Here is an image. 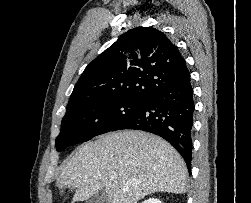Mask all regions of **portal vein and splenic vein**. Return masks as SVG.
I'll return each mask as SVG.
<instances>
[{
  "mask_svg": "<svg viewBox=\"0 0 251 203\" xmlns=\"http://www.w3.org/2000/svg\"><path fill=\"white\" fill-rule=\"evenodd\" d=\"M112 179H114V178H116V174L115 173H113V174H111V176H110Z\"/></svg>",
  "mask_w": 251,
  "mask_h": 203,
  "instance_id": "1",
  "label": "portal vein and splenic vein"
}]
</instances>
